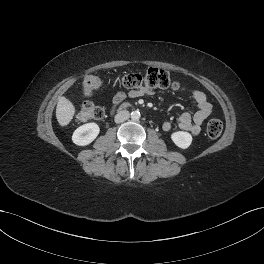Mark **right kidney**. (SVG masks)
I'll return each mask as SVG.
<instances>
[{
	"label": "right kidney",
	"instance_id": "right-kidney-1",
	"mask_svg": "<svg viewBox=\"0 0 264 264\" xmlns=\"http://www.w3.org/2000/svg\"><path fill=\"white\" fill-rule=\"evenodd\" d=\"M100 132L96 123H87L78 127L72 136V141L79 146H86L93 142Z\"/></svg>",
	"mask_w": 264,
	"mask_h": 264
}]
</instances>
